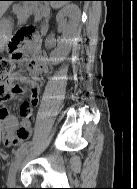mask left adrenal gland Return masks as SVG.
Masks as SVG:
<instances>
[{"mask_svg":"<svg viewBox=\"0 0 137 189\" xmlns=\"http://www.w3.org/2000/svg\"><path fill=\"white\" fill-rule=\"evenodd\" d=\"M46 25H48V18L46 19Z\"/></svg>","mask_w":137,"mask_h":189,"instance_id":"1","label":"left adrenal gland"}]
</instances>
